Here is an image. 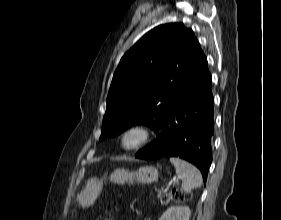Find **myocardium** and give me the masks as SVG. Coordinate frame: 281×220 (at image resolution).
Listing matches in <instances>:
<instances>
[{
    "label": "myocardium",
    "instance_id": "obj_1",
    "mask_svg": "<svg viewBox=\"0 0 281 220\" xmlns=\"http://www.w3.org/2000/svg\"><path fill=\"white\" fill-rule=\"evenodd\" d=\"M134 137L132 142H129V138ZM152 139L151 129L142 123H133L126 126L118 135L117 144L120 150L124 152L137 151L147 144Z\"/></svg>",
    "mask_w": 281,
    "mask_h": 220
}]
</instances>
